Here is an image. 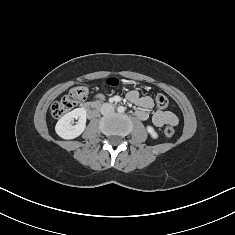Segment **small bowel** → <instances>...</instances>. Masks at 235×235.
<instances>
[{"label": "small bowel", "mask_w": 235, "mask_h": 235, "mask_svg": "<svg viewBox=\"0 0 235 235\" xmlns=\"http://www.w3.org/2000/svg\"><path fill=\"white\" fill-rule=\"evenodd\" d=\"M129 101L139 106L136 115L141 120H147L150 116L149 109L153 107V100L149 96H141L137 91H131L127 94ZM95 100H102V95L94 96ZM152 122L156 127L164 125H176L178 123L177 116L171 111H156L152 115Z\"/></svg>", "instance_id": "obj_1"}]
</instances>
